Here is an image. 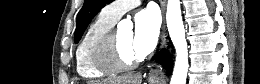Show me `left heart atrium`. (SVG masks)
<instances>
[{
	"instance_id": "left-heart-atrium-1",
	"label": "left heart atrium",
	"mask_w": 260,
	"mask_h": 84,
	"mask_svg": "<svg viewBox=\"0 0 260 84\" xmlns=\"http://www.w3.org/2000/svg\"><path fill=\"white\" fill-rule=\"evenodd\" d=\"M160 32V19L154 9L142 10L135 16L133 32V50L136 56L143 58L156 47Z\"/></svg>"
}]
</instances>
